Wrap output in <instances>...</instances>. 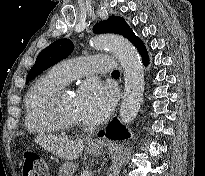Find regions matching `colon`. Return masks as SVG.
I'll return each mask as SVG.
<instances>
[{"label": "colon", "instance_id": "colon-1", "mask_svg": "<svg viewBox=\"0 0 205 176\" xmlns=\"http://www.w3.org/2000/svg\"><path fill=\"white\" fill-rule=\"evenodd\" d=\"M48 167L45 159L39 156H28L22 166V176H47Z\"/></svg>", "mask_w": 205, "mask_h": 176}]
</instances>
